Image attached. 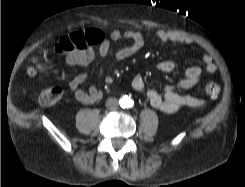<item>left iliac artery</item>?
I'll list each match as a JSON object with an SVG mask.
<instances>
[{
  "label": "left iliac artery",
  "instance_id": "44dca946",
  "mask_svg": "<svg viewBox=\"0 0 245 187\" xmlns=\"http://www.w3.org/2000/svg\"><path fill=\"white\" fill-rule=\"evenodd\" d=\"M128 105H129V107H132L133 106V102L131 101Z\"/></svg>",
  "mask_w": 245,
  "mask_h": 187
}]
</instances>
